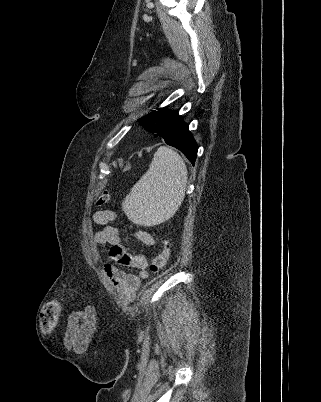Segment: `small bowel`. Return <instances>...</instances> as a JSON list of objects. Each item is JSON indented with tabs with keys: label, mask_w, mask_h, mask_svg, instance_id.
I'll return each instance as SVG.
<instances>
[{
	"label": "small bowel",
	"mask_w": 321,
	"mask_h": 402,
	"mask_svg": "<svg viewBox=\"0 0 321 402\" xmlns=\"http://www.w3.org/2000/svg\"><path fill=\"white\" fill-rule=\"evenodd\" d=\"M94 224L103 226V230L94 235V244L98 247H108L110 260L134 269L135 273H129L118 268L116 264L107 261L103 265L105 276L116 289L121 299L128 303L132 301L139 289L141 282L148 278V260L144 255L128 252L123 244V237L119 229L113 225L115 215L110 210H98L93 213ZM136 239L144 246H153L154 237L146 230H138L135 233ZM94 304L84 303L83 307H77L75 312L65 317V341L72 347L75 353H86L87 339H91V329L95 328L93 320ZM79 320L81 322L79 323Z\"/></svg>",
	"instance_id": "c3829d8e"
}]
</instances>
